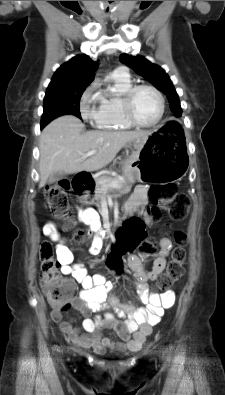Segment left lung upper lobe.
<instances>
[{
	"mask_svg": "<svg viewBox=\"0 0 225 395\" xmlns=\"http://www.w3.org/2000/svg\"><path fill=\"white\" fill-rule=\"evenodd\" d=\"M120 61L131 67L137 74L146 78L169 100L170 108L175 116L182 114L178 94L166 72L158 65L152 64L142 56L120 55Z\"/></svg>",
	"mask_w": 225,
	"mask_h": 395,
	"instance_id": "left-lung-upper-lobe-1",
	"label": "left lung upper lobe"
}]
</instances>
